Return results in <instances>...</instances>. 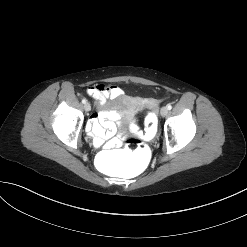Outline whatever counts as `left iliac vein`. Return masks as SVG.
I'll use <instances>...</instances> for the list:
<instances>
[{
	"label": "left iliac vein",
	"instance_id": "1",
	"mask_svg": "<svg viewBox=\"0 0 247 247\" xmlns=\"http://www.w3.org/2000/svg\"><path fill=\"white\" fill-rule=\"evenodd\" d=\"M161 116L165 117L168 114L167 107H162L160 110Z\"/></svg>",
	"mask_w": 247,
	"mask_h": 247
}]
</instances>
